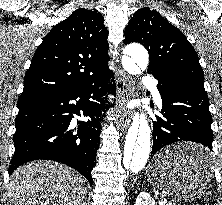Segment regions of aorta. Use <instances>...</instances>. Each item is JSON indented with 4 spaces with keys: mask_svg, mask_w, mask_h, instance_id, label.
<instances>
[{
    "mask_svg": "<svg viewBox=\"0 0 222 205\" xmlns=\"http://www.w3.org/2000/svg\"><path fill=\"white\" fill-rule=\"evenodd\" d=\"M149 56L146 49L139 44L128 45L124 50L122 64L132 74L145 70ZM151 150V129L146 115L141 113L128 130L125 138L122 167L130 174L138 173L146 165Z\"/></svg>",
    "mask_w": 222,
    "mask_h": 205,
    "instance_id": "obj_1",
    "label": "aorta"
}]
</instances>
